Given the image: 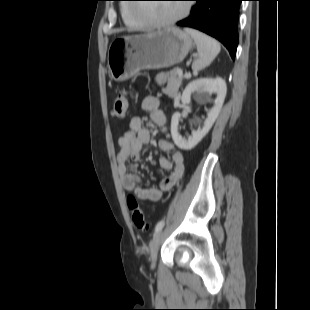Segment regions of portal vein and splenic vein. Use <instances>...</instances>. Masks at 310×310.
<instances>
[{
	"mask_svg": "<svg viewBox=\"0 0 310 310\" xmlns=\"http://www.w3.org/2000/svg\"><path fill=\"white\" fill-rule=\"evenodd\" d=\"M177 74L179 76H182L183 75V71L181 69H177ZM186 77L189 78L190 77V74H186Z\"/></svg>",
	"mask_w": 310,
	"mask_h": 310,
	"instance_id": "obj_1",
	"label": "portal vein and splenic vein"
}]
</instances>
